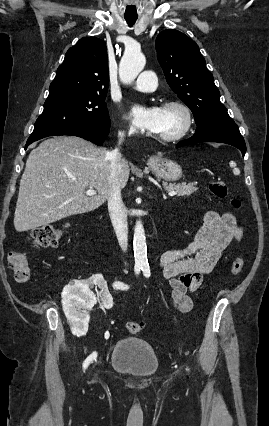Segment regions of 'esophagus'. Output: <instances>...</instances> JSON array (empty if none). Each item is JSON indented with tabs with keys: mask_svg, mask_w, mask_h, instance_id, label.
I'll return each instance as SVG.
<instances>
[{
	"mask_svg": "<svg viewBox=\"0 0 269 426\" xmlns=\"http://www.w3.org/2000/svg\"><path fill=\"white\" fill-rule=\"evenodd\" d=\"M151 159H152V160H154V159H155V156H152V157H151Z\"/></svg>",
	"mask_w": 269,
	"mask_h": 426,
	"instance_id": "esophagus-1",
	"label": "esophagus"
}]
</instances>
